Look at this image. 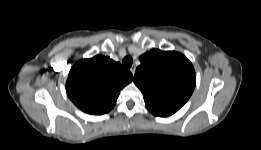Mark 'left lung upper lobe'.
Returning <instances> with one entry per match:
<instances>
[{
    "instance_id": "5c2ea615",
    "label": "left lung upper lobe",
    "mask_w": 261,
    "mask_h": 150,
    "mask_svg": "<svg viewBox=\"0 0 261 150\" xmlns=\"http://www.w3.org/2000/svg\"><path fill=\"white\" fill-rule=\"evenodd\" d=\"M134 83L143 93L147 109L166 117L190 98L196 84L195 70L188 58L175 51L153 49L139 57Z\"/></svg>"
}]
</instances>
